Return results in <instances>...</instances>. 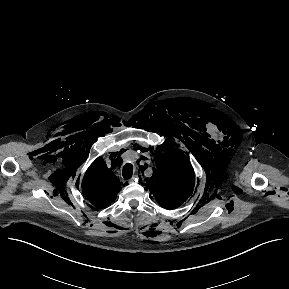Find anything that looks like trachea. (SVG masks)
Returning <instances> with one entry per match:
<instances>
[{
  "instance_id": "3493384b",
  "label": "trachea",
  "mask_w": 289,
  "mask_h": 289,
  "mask_svg": "<svg viewBox=\"0 0 289 289\" xmlns=\"http://www.w3.org/2000/svg\"><path fill=\"white\" fill-rule=\"evenodd\" d=\"M122 175L125 179H130L133 175V166L131 164H126L123 167Z\"/></svg>"
}]
</instances>
